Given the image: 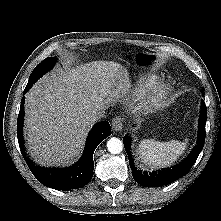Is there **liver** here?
Segmentation results:
<instances>
[{"label": "liver", "mask_w": 221, "mask_h": 221, "mask_svg": "<svg viewBox=\"0 0 221 221\" xmlns=\"http://www.w3.org/2000/svg\"><path fill=\"white\" fill-rule=\"evenodd\" d=\"M130 87L127 70L113 61H94L42 77L25 102L24 134L31 156L41 165L70 164L82 153L92 112L107 109Z\"/></svg>", "instance_id": "1"}]
</instances>
